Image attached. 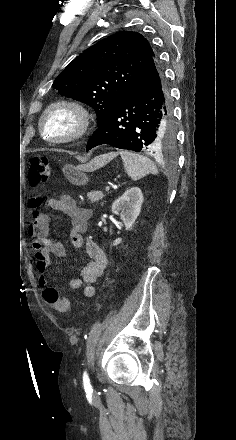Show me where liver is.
I'll use <instances>...</instances> for the list:
<instances>
[{
    "instance_id": "liver-1",
    "label": "liver",
    "mask_w": 236,
    "mask_h": 440,
    "mask_svg": "<svg viewBox=\"0 0 236 440\" xmlns=\"http://www.w3.org/2000/svg\"><path fill=\"white\" fill-rule=\"evenodd\" d=\"M111 158H112V155H111V154H108V155H102V156H99V157L95 158L94 160L96 161L95 163H96L97 166H103V165H105V164H106Z\"/></svg>"
}]
</instances>
